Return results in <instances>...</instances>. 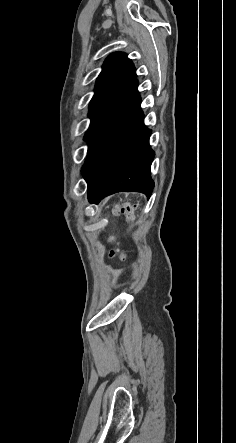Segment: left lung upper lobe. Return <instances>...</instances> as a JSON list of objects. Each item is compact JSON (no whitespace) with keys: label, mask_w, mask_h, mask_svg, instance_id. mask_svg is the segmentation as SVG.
<instances>
[{"label":"left lung upper lobe","mask_w":236,"mask_h":443,"mask_svg":"<svg viewBox=\"0 0 236 443\" xmlns=\"http://www.w3.org/2000/svg\"><path fill=\"white\" fill-rule=\"evenodd\" d=\"M136 78L135 67L125 53L115 52L106 58L89 104L90 126L116 103Z\"/></svg>","instance_id":"left-lung-upper-lobe-1"}]
</instances>
